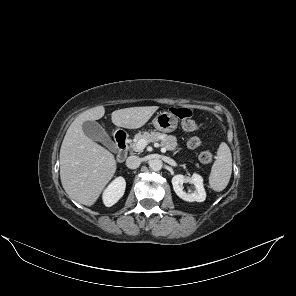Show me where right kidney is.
Here are the masks:
<instances>
[{
  "label": "right kidney",
  "instance_id": "obj_1",
  "mask_svg": "<svg viewBox=\"0 0 296 296\" xmlns=\"http://www.w3.org/2000/svg\"><path fill=\"white\" fill-rule=\"evenodd\" d=\"M126 182L123 177H117L104 191L103 202L105 206L111 207L124 195Z\"/></svg>",
  "mask_w": 296,
  "mask_h": 296
}]
</instances>
